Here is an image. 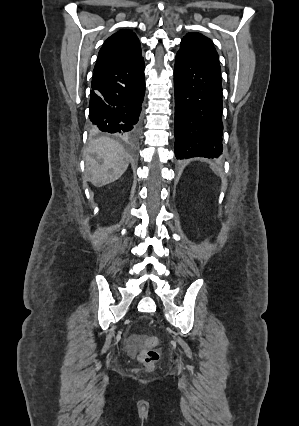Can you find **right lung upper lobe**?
I'll use <instances>...</instances> for the list:
<instances>
[{
    "label": "right lung upper lobe",
    "mask_w": 299,
    "mask_h": 426,
    "mask_svg": "<svg viewBox=\"0 0 299 426\" xmlns=\"http://www.w3.org/2000/svg\"><path fill=\"white\" fill-rule=\"evenodd\" d=\"M141 58V47L131 30H120L110 36L99 51L94 71L104 67L134 62Z\"/></svg>",
    "instance_id": "obj_1"
}]
</instances>
